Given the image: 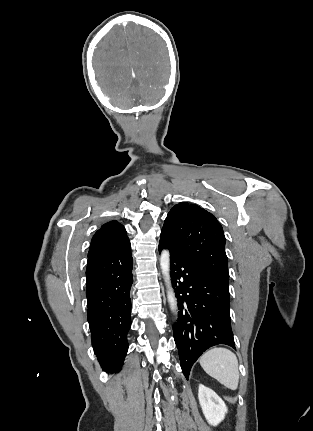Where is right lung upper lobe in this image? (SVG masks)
Here are the masks:
<instances>
[{
  "instance_id": "1",
  "label": "right lung upper lobe",
  "mask_w": 313,
  "mask_h": 431,
  "mask_svg": "<svg viewBox=\"0 0 313 431\" xmlns=\"http://www.w3.org/2000/svg\"><path fill=\"white\" fill-rule=\"evenodd\" d=\"M127 241L129 239L123 225L116 220L107 222L93 236L88 258L108 252Z\"/></svg>"
}]
</instances>
